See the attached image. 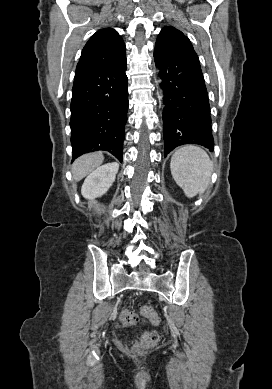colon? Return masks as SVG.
I'll list each match as a JSON object with an SVG mask.
<instances>
[{
  "instance_id": "5ec220e1",
  "label": "colon",
  "mask_w": 272,
  "mask_h": 389,
  "mask_svg": "<svg viewBox=\"0 0 272 389\" xmlns=\"http://www.w3.org/2000/svg\"><path fill=\"white\" fill-rule=\"evenodd\" d=\"M141 314L145 320H150L153 323H158L159 318L155 311L149 306H143L141 308ZM120 322L124 326H133L139 322V316L131 310L124 309L120 313ZM159 335L156 331H145L141 336V340L135 345V350L141 351L149 349L157 344Z\"/></svg>"
}]
</instances>
